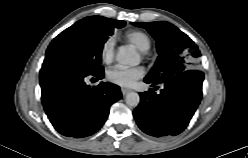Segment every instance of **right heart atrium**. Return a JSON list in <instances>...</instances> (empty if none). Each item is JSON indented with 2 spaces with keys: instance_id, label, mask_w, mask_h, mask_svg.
<instances>
[{
  "instance_id": "d8ad5b80",
  "label": "right heart atrium",
  "mask_w": 248,
  "mask_h": 158,
  "mask_svg": "<svg viewBox=\"0 0 248 158\" xmlns=\"http://www.w3.org/2000/svg\"><path fill=\"white\" fill-rule=\"evenodd\" d=\"M100 57L104 63H110L114 57V45L111 38H107L100 49Z\"/></svg>"
}]
</instances>
